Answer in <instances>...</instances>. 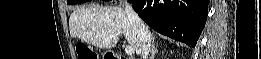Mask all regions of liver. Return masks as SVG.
I'll list each match as a JSON object with an SVG mask.
<instances>
[{
  "label": "liver",
  "instance_id": "6515ba94",
  "mask_svg": "<svg viewBox=\"0 0 261 59\" xmlns=\"http://www.w3.org/2000/svg\"><path fill=\"white\" fill-rule=\"evenodd\" d=\"M70 35L94 46L110 49L124 35L136 54H140L137 35L127 14L119 6L90 5L75 10L69 19Z\"/></svg>",
  "mask_w": 261,
  "mask_h": 59
}]
</instances>
